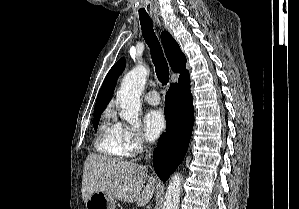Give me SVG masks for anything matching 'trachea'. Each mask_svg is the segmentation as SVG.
I'll list each match as a JSON object with an SVG mask.
<instances>
[{
	"label": "trachea",
	"instance_id": "1",
	"mask_svg": "<svg viewBox=\"0 0 299 209\" xmlns=\"http://www.w3.org/2000/svg\"><path fill=\"white\" fill-rule=\"evenodd\" d=\"M139 19L143 37L151 50L157 78L162 85H167L169 82V67L154 33L152 20L146 16H139Z\"/></svg>",
	"mask_w": 299,
	"mask_h": 209
}]
</instances>
